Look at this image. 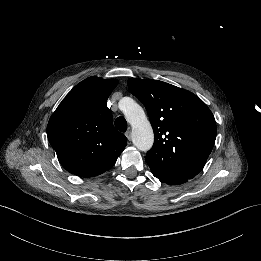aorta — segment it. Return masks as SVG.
<instances>
[{
    "label": "aorta",
    "instance_id": "aorta-1",
    "mask_svg": "<svg viewBox=\"0 0 261 261\" xmlns=\"http://www.w3.org/2000/svg\"><path fill=\"white\" fill-rule=\"evenodd\" d=\"M120 110L126 121L132 126V142L142 152H148L154 144L152 127L145 116L143 108L131 97L120 101Z\"/></svg>",
    "mask_w": 261,
    "mask_h": 261
}]
</instances>
